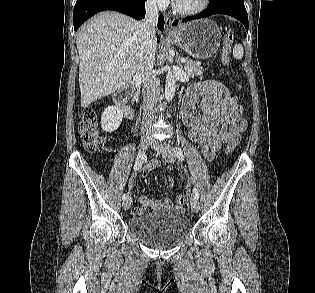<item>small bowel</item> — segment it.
Here are the masks:
<instances>
[{
  "label": "small bowel",
  "instance_id": "c3829d8e",
  "mask_svg": "<svg viewBox=\"0 0 315 293\" xmlns=\"http://www.w3.org/2000/svg\"><path fill=\"white\" fill-rule=\"evenodd\" d=\"M201 99L202 114L195 113L196 99ZM182 119L189 128L190 139L198 144L202 154L212 159L222 143L236 144L247 128L242 118V107L237 98L230 95L224 84L217 80H206L194 84L188 91L182 109ZM158 160H151L146 172L158 167ZM141 207L138 213L150 211L157 207H170V199L139 198Z\"/></svg>",
  "mask_w": 315,
  "mask_h": 293
}]
</instances>
